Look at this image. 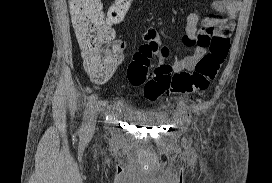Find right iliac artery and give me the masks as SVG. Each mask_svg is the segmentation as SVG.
<instances>
[{"mask_svg": "<svg viewBox=\"0 0 272 183\" xmlns=\"http://www.w3.org/2000/svg\"><path fill=\"white\" fill-rule=\"evenodd\" d=\"M95 101H96V95H91L88 99L86 109L84 112L83 123L80 129L81 134H85L87 132Z\"/></svg>", "mask_w": 272, "mask_h": 183, "instance_id": "obj_1", "label": "right iliac artery"}]
</instances>
